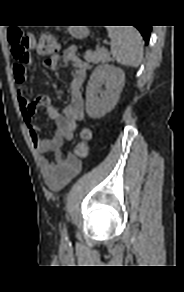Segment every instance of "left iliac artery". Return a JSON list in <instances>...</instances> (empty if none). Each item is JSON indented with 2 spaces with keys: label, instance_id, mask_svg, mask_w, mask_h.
I'll list each match as a JSON object with an SVG mask.
<instances>
[{
  "label": "left iliac artery",
  "instance_id": "obj_1",
  "mask_svg": "<svg viewBox=\"0 0 184 292\" xmlns=\"http://www.w3.org/2000/svg\"><path fill=\"white\" fill-rule=\"evenodd\" d=\"M68 240V234H67V229L66 226H63V231H62V241Z\"/></svg>",
  "mask_w": 184,
  "mask_h": 292
}]
</instances>
